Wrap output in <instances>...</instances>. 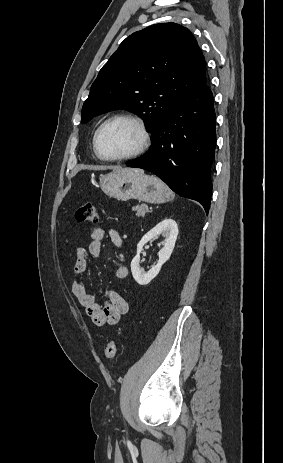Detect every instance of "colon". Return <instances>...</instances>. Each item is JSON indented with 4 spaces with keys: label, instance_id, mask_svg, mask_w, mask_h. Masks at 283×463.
<instances>
[{
    "label": "colon",
    "instance_id": "5ec220e1",
    "mask_svg": "<svg viewBox=\"0 0 283 463\" xmlns=\"http://www.w3.org/2000/svg\"><path fill=\"white\" fill-rule=\"evenodd\" d=\"M76 219L80 222L95 223L98 221L97 208L93 203H85L79 207L76 211ZM117 343L116 341H110L104 350V355L107 359H113L116 355Z\"/></svg>",
    "mask_w": 283,
    "mask_h": 463
}]
</instances>
